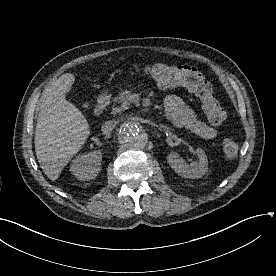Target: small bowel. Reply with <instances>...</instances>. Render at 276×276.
<instances>
[{
    "label": "small bowel",
    "instance_id": "1",
    "mask_svg": "<svg viewBox=\"0 0 276 276\" xmlns=\"http://www.w3.org/2000/svg\"><path fill=\"white\" fill-rule=\"evenodd\" d=\"M165 114L175 126L184 128L204 139H213L218 135L215 127L201 121L194 111L176 95L165 99Z\"/></svg>",
    "mask_w": 276,
    "mask_h": 276
}]
</instances>
